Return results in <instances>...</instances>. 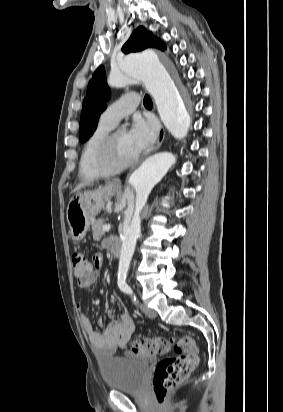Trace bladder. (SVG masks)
Segmentation results:
<instances>
[{
    "label": "bladder",
    "mask_w": 283,
    "mask_h": 412,
    "mask_svg": "<svg viewBox=\"0 0 283 412\" xmlns=\"http://www.w3.org/2000/svg\"><path fill=\"white\" fill-rule=\"evenodd\" d=\"M149 364L142 361L112 358L101 362L104 385L122 392H140L144 389Z\"/></svg>",
    "instance_id": "31cf9c89"
}]
</instances>
